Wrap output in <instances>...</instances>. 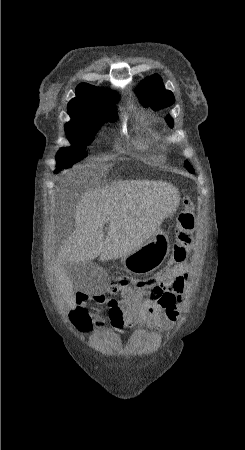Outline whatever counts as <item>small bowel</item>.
Segmentation results:
<instances>
[{
  "instance_id": "obj_1",
  "label": "small bowel",
  "mask_w": 245,
  "mask_h": 450,
  "mask_svg": "<svg viewBox=\"0 0 245 450\" xmlns=\"http://www.w3.org/2000/svg\"><path fill=\"white\" fill-rule=\"evenodd\" d=\"M189 277V265L183 263L175 267H166L162 272L151 276L144 287L136 290L121 291L119 299L109 298L106 293L95 295L91 300L96 305H106L108 319L115 334H121L125 328L144 324L164 332L170 323L179 320V304ZM119 291L112 289L110 293ZM72 313L75 305H67Z\"/></svg>"
}]
</instances>
